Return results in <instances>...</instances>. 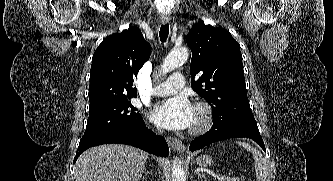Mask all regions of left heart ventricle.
Instances as JSON below:
<instances>
[{
  "label": "left heart ventricle",
  "instance_id": "obj_1",
  "mask_svg": "<svg viewBox=\"0 0 333 181\" xmlns=\"http://www.w3.org/2000/svg\"><path fill=\"white\" fill-rule=\"evenodd\" d=\"M196 120H197V113L195 111V121H194V124H195Z\"/></svg>",
  "mask_w": 333,
  "mask_h": 181
}]
</instances>
